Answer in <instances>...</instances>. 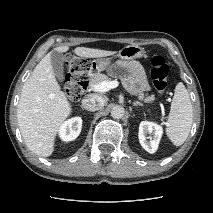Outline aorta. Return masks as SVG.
I'll return each instance as SVG.
<instances>
[{
    "instance_id": "obj_1",
    "label": "aorta",
    "mask_w": 213,
    "mask_h": 213,
    "mask_svg": "<svg viewBox=\"0 0 213 213\" xmlns=\"http://www.w3.org/2000/svg\"><path fill=\"white\" fill-rule=\"evenodd\" d=\"M125 114V109L122 106H114L113 109L111 110V116L114 119H120L124 116Z\"/></svg>"
}]
</instances>
